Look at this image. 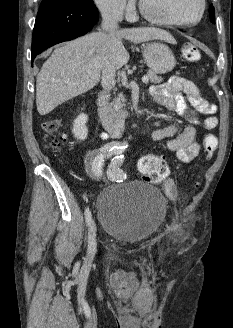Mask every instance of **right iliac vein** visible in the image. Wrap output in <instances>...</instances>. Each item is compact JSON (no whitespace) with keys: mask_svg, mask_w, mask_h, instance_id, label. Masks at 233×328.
<instances>
[{"mask_svg":"<svg viewBox=\"0 0 233 328\" xmlns=\"http://www.w3.org/2000/svg\"><path fill=\"white\" fill-rule=\"evenodd\" d=\"M97 251V242H96V225L94 221H91L88 231V249H87V259L90 262Z\"/></svg>","mask_w":233,"mask_h":328,"instance_id":"right-iliac-vein-1","label":"right iliac vein"}]
</instances>
